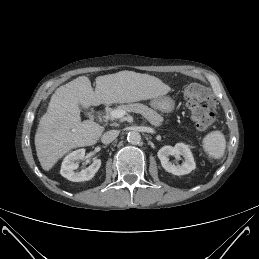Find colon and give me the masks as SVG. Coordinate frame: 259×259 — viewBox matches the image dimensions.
I'll return each mask as SVG.
<instances>
[{"instance_id":"1","label":"colon","mask_w":259,"mask_h":259,"mask_svg":"<svg viewBox=\"0 0 259 259\" xmlns=\"http://www.w3.org/2000/svg\"><path fill=\"white\" fill-rule=\"evenodd\" d=\"M186 108L200 131H206L215 120L210 90L198 83H191L183 91Z\"/></svg>"}]
</instances>
